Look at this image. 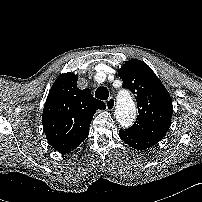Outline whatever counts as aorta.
<instances>
[{"instance_id": "762f6f07", "label": "aorta", "mask_w": 202, "mask_h": 202, "mask_svg": "<svg viewBox=\"0 0 202 202\" xmlns=\"http://www.w3.org/2000/svg\"><path fill=\"white\" fill-rule=\"evenodd\" d=\"M115 115L118 123L124 128H128L135 121L136 106L128 92L119 94Z\"/></svg>"}]
</instances>
